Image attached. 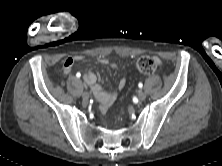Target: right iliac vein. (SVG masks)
Segmentation results:
<instances>
[{
  "label": "right iliac vein",
  "instance_id": "right-iliac-vein-1",
  "mask_svg": "<svg viewBox=\"0 0 222 166\" xmlns=\"http://www.w3.org/2000/svg\"><path fill=\"white\" fill-rule=\"evenodd\" d=\"M89 97H90V95H89L88 92H84V93L82 94V98H83V100H85V101L88 100Z\"/></svg>",
  "mask_w": 222,
  "mask_h": 166
}]
</instances>
